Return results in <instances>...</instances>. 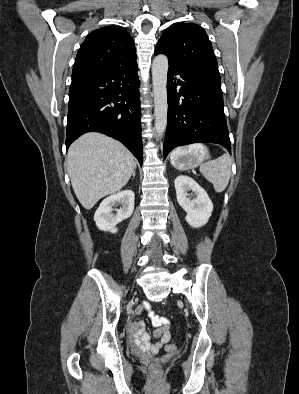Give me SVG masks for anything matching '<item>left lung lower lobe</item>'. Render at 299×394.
Here are the masks:
<instances>
[{
  "instance_id": "obj_1",
  "label": "left lung lower lobe",
  "mask_w": 299,
  "mask_h": 394,
  "mask_svg": "<svg viewBox=\"0 0 299 394\" xmlns=\"http://www.w3.org/2000/svg\"><path fill=\"white\" fill-rule=\"evenodd\" d=\"M167 92L164 158L177 146L197 142L220 144L231 153L218 68L169 64Z\"/></svg>"
}]
</instances>
